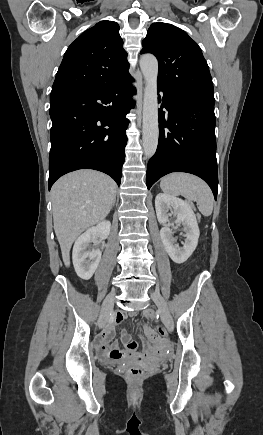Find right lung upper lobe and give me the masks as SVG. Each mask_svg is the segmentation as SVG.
<instances>
[{
    "mask_svg": "<svg viewBox=\"0 0 263 435\" xmlns=\"http://www.w3.org/2000/svg\"><path fill=\"white\" fill-rule=\"evenodd\" d=\"M119 25L101 21L83 32L67 49L50 101L93 90L129 74Z\"/></svg>",
    "mask_w": 263,
    "mask_h": 435,
    "instance_id": "1",
    "label": "right lung upper lobe"
}]
</instances>
